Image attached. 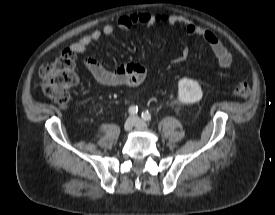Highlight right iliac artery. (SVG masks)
Listing matches in <instances>:
<instances>
[{
    "mask_svg": "<svg viewBox=\"0 0 275 215\" xmlns=\"http://www.w3.org/2000/svg\"><path fill=\"white\" fill-rule=\"evenodd\" d=\"M128 112H129L130 115H135L138 112V107L137 106H131V107H129Z\"/></svg>",
    "mask_w": 275,
    "mask_h": 215,
    "instance_id": "right-iliac-artery-1",
    "label": "right iliac artery"
}]
</instances>
